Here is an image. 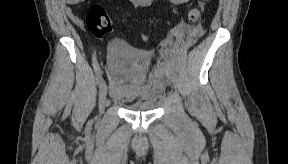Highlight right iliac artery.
Listing matches in <instances>:
<instances>
[{
  "label": "right iliac artery",
  "mask_w": 288,
  "mask_h": 164,
  "mask_svg": "<svg viewBox=\"0 0 288 164\" xmlns=\"http://www.w3.org/2000/svg\"><path fill=\"white\" fill-rule=\"evenodd\" d=\"M92 64H93V67H94L97 83H98V85H101V83L103 81V79H102V71H101V68H100L97 60H96L95 55H93V57H92Z\"/></svg>",
  "instance_id": "right-iliac-artery-1"
}]
</instances>
